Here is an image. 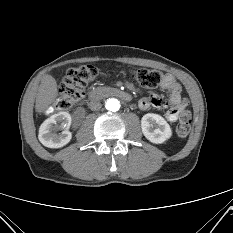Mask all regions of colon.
Instances as JSON below:
<instances>
[{
	"instance_id": "colon-1",
	"label": "colon",
	"mask_w": 233,
	"mask_h": 233,
	"mask_svg": "<svg viewBox=\"0 0 233 233\" xmlns=\"http://www.w3.org/2000/svg\"><path fill=\"white\" fill-rule=\"evenodd\" d=\"M99 76V70L92 65H81L67 70L63 77L59 95L52 111H64L72 108L83 97L85 88ZM134 79L145 88H156L162 82V75L157 70L140 68L133 72ZM191 113L184 110L179 118L176 133L185 137L190 131Z\"/></svg>"
}]
</instances>
